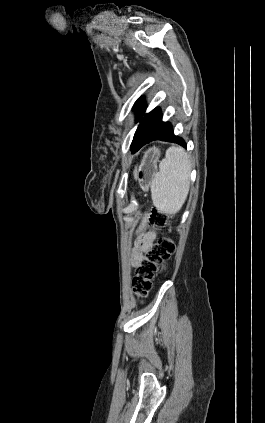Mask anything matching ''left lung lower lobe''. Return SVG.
<instances>
[{"mask_svg": "<svg viewBox=\"0 0 265 423\" xmlns=\"http://www.w3.org/2000/svg\"><path fill=\"white\" fill-rule=\"evenodd\" d=\"M135 105L137 109L136 120L140 121V124L131 144L132 152L138 151L142 146L153 140L175 142L186 147L185 141L174 135L171 124L162 121L160 108H155L150 113L145 114L146 104L143 100L137 101Z\"/></svg>", "mask_w": 265, "mask_h": 423, "instance_id": "0a47b994", "label": "left lung lower lobe"}]
</instances>
